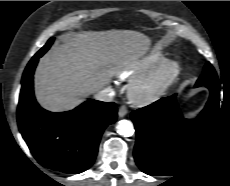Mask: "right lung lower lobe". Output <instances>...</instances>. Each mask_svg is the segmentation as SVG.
<instances>
[{
	"instance_id": "98d812e1",
	"label": "right lung lower lobe",
	"mask_w": 230,
	"mask_h": 186,
	"mask_svg": "<svg viewBox=\"0 0 230 186\" xmlns=\"http://www.w3.org/2000/svg\"><path fill=\"white\" fill-rule=\"evenodd\" d=\"M38 59L34 56L23 73L17 109L19 130L42 166L64 173H81L93 164L104 129L116 121V105L88 100L68 112L44 110L33 92Z\"/></svg>"
}]
</instances>
